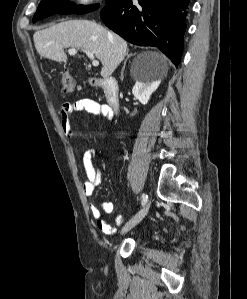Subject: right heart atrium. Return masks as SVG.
Listing matches in <instances>:
<instances>
[{
    "label": "right heart atrium",
    "instance_id": "obj_1",
    "mask_svg": "<svg viewBox=\"0 0 247 299\" xmlns=\"http://www.w3.org/2000/svg\"><path fill=\"white\" fill-rule=\"evenodd\" d=\"M98 2H99V0H75V4L78 7H89Z\"/></svg>",
    "mask_w": 247,
    "mask_h": 299
}]
</instances>
